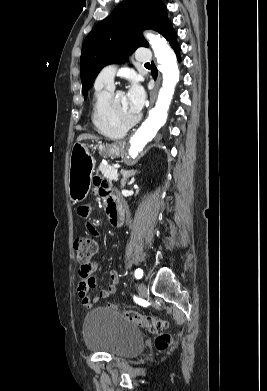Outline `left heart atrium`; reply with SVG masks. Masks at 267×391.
Here are the masks:
<instances>
[{"mask_svg":"<svg viewBox=\"0 0 267 391\" xmlns=\"http://www.w3.org/2000/svg\"><path fill=\"white\" fill-rule=\"evenodd\" d=\"M127 98L129 101V104L131 106V109L138 114L140 110L142 109L143 103H144V91L142 87L137 84L136 82H133L131 86L129 87V90L127 92Z\"/></svg>","mask_w":267,"mask_h":391,"instance_id":"39dd6f15","label":"left heart atrium"}]
</instances>
